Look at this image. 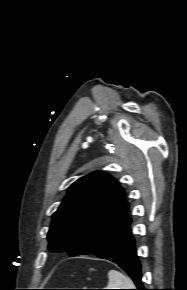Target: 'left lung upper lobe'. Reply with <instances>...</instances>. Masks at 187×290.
Here are the masks:
<instances>
[{
    "label": "left lung upper lobe",
    "mask_w": 187,
    "mask_h": 290,
    "mask_svg": "<svg viewBox=\"0 0 187 290\" xmlns=\"http://www.w3.org/2000/svg\"><path fill=\"white\" fill-rule=\"evenodd\" d=\"M129 205L116 179L95 171L74 182L53 214L48 232L51 252L92 254L126 218Z\"/></svg>",
    "instance_id": "5c2ea615"
}]
</instances>
